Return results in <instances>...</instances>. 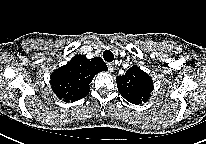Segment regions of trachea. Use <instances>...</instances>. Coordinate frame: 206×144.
Segmentation results:
<instances>
[{"label":"trachea","instance_id":"1","mask_svg":"<svg viewBox=\"0 0 206 144\" xmlns=\"http://www.w3.org/2000/svg\"><path fill=\"white\" fill-rule=\"evenodd\" d=\"M103 58L106 62H112L114 60V55L110 50H105L103 52Z\"/></svg>","mask_w":206,"mask_h":144}]
</instances>
